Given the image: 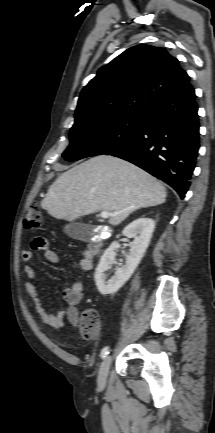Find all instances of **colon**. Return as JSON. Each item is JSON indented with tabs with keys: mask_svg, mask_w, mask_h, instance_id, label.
Here are the masks:
<instances>
[{
	"mask_svg": "<svg viewBox=\"0 0 215 433\" xmlns=\"http://www.w3.org/2000/svg\"><path fill=\"white\" fill-rule=\"evenodd\" d=\"M42 224V217L40 208L37 204H32L26 210L23 218V229L25 231H33L40 228ZM99 315L93 309H87L82 314V328L81 335L84 339H91L96 334L99 326Z\"/></svg>",
	"mask_w": 215,
	"mask_h": 433,
	"instance_id": "obj_1",
	"label": "colon"
}]
</instances>
